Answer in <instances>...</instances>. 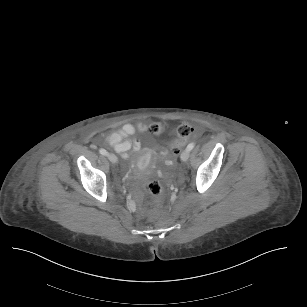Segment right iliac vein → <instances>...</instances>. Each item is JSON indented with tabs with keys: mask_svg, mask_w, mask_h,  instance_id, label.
I'll return each mask as SVG.
<instances>
[{
	"mask_svg": "<svg viewBox=\"0 0 307 307\" xmlns=\"http://www.w3.org/2000/svg\"><path fill=\"white\" fill-rule=\"evenodd\" d=\"M107 157H108V159H109V161L111 162V163H117V157L114 155V154H112V153H108L107 154Z\"/></svg>",
	"mask_w": 307,
	"mask_h": 307,
	"instance_id": "1",
	"label": "right iliac vein"
}]
</instances>
